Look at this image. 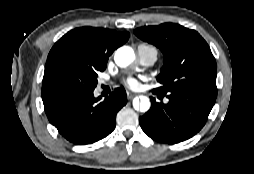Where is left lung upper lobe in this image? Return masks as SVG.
Segmentation results:
<instances>
[{"label": "left lung upper lobe", "mask_w": 254, "mask_h": 174, "mask_svg": "<svg viewBox=\"0 0 254 174\" xmlns=\"http://www.w3.org/2000/svg\"><path fill=\"white\" fill-rule=\"evenodd\" d=\"M140 39L156 45L163 52L164 66L154 91L166 95L173 91L192 90L217 96L215 58L206 41L195 31L178 24L140 27L134 30Z\"/></svg>", "instance_id": "obj_1"}]
</instances>
